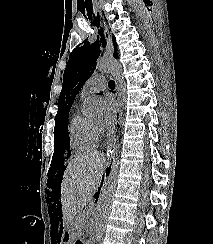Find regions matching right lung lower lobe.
<instances>
[{"instance_id": "right-lung-lower-lobe-1", "label": "right lung lower lobe", "mask_w": 213, "mask_h": 244, "mask_svg": "<svg viewBox=\"0 0 213 244\" xmlns=\"http://www.w3.org/2000/svg\"><path fill=\"white\" fill-rule=\"evenodd\" d=\"M108 171H110V168H107V174H108Z\"/></svg>"}]
</instances>
